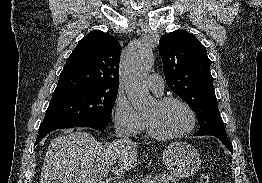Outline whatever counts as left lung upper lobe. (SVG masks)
<instances>
[{"mask_svg":"<svg viewBox=\"0 0 262 183\" xmlns=\"http://www.w3.org/2000/svg\"><path fill=\"white\" fill-rule=\"evenodd\" d=\"M159 53L168 86L197 116L200 128L194 135L226 136L206 48L193 34L179 30L160 38Z\"/></svg>","mask_w":262,"mask_h":183,"instance_id":"left-lung-upper-lobe-1","label":"left lung upper lobe"}]
</instances>
